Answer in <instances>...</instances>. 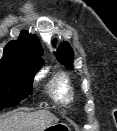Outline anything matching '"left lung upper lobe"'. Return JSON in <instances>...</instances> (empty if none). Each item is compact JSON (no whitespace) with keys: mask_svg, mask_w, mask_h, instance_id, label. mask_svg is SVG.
<instances>
[{"mask_svg":"<svg viewBox=\"0 0 117 131\" xmlns=\"http://www.w3.org/2000/svg\"><path fill=\"white\" fill-rule=\"evenodd\" d=\"M55 43V42H54ZM55 55L60 63L64 64L69 68H73V50L70 47L69 43L65 42L58 50L55 52Z\"/></svg>","mask_w":117,"mask_h":131,"instance_id":"5c2ea615","label":"left lung upper lobe"}]
</instances>
